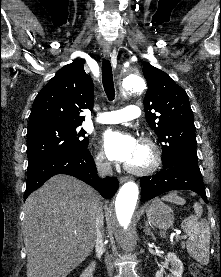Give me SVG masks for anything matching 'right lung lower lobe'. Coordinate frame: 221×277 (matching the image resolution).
<instances>
[{
	"instance_id": "right-lung-lower-lobe-1",
	"label": "right lung lower lobe",
	"mask_w": 221,
	"mask_h": 277,
	"mask_svg": "<svg viewBox=\"0 0 221 277\" xmlns=\"http://www.w3.org/2000/svg\"><path fill=\"white\" fill-rule=\"evenodd\" d=\"M56 174L79 178L95 188L104 198H112L119 187L117 178L98 177L94 160L88 148H85L56 159L43 161L34 168L28 169L24 200Z\"/></svg>"
}]
</instances>
